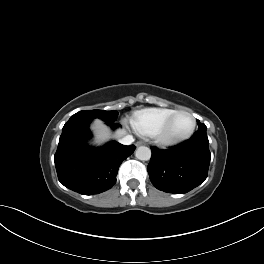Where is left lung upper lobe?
I'll use <instances>...</instances> for the list:
<instances>
[{
  "label": "left lung upper lobe",
  "instance_id": "5c2ea615",
  "mask_svg": "<svg viewBox=\"0 0 264 264\" xmlns=\"http://www.w3.org/2000/svg\"><path fill=\"white\" fill-rule=\"evenodd\" d=\"M197 123H199V127H198V130H206V125L205 124H202L200 123L199 121H197Z\"/></svg>",
  "mask_w": 264,
  "mask_h": 264
}]
</instances>
